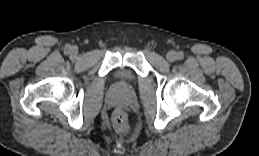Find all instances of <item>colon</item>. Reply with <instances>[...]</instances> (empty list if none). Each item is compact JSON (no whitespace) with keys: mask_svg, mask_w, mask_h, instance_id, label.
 <instances>
[{"mask_svg":"<svg viewBox=\"0 0 259 156\" xmlns=\"http://www.w3.org/2000/svg\"><path fill=\"white\" fill-rule=\"evenodd\" d=\"M113 123L115 129L121 133V134H126L129 131V124L127 121V117L125 113L121 110H118L115 112L114 117H113Z\"/></svg>","mask_w":259,"mask_h":156,"instance_id":"colon-1","label":"colon"}]
</instances>
